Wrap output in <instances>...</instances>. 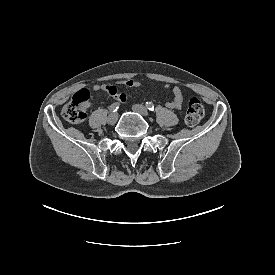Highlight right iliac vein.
Returning <instances> with one entry per match:
<instances>
[{"label": "right iliac vein", "mask_w": 275, "mask_h": 275, "mask_svg": "<svg viewBox=\"0 0 275 275\" xmlns=\"http://www.w3.org/2000/svg\"><path fill=\"white\" fill-rule=\"evenodd\" d=\"M117 119H118L117 113H111L108 117V123L113 125L117 122Z\"/></svg>", "instance_id": "obj_1"}]
</instances>
